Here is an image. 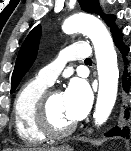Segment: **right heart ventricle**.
<instances>
[{
  "label": "right heart ventricle",
  "mask_w": 131,
  "mask_h": 151,
  "mask_svg": "<svg viewBox=\"0 0 131 151\" xmlns=\"http://www.w3.org/2000/svg\"><path fill=\"white\" fill-rule=\"evenodd\" d=\"M38 78L30 80L19 90L14 102V126L18 136L26 143L37 144L45 140L36 124V105L48 88Z\"/></svg>",
  "instance_id": "obj_1"
}]
</instances>
